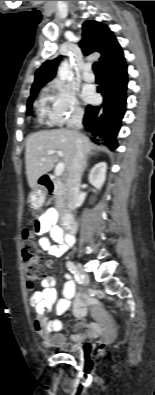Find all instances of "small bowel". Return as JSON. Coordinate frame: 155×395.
<instances>
[{"label": "small bowel", "instance_id": "obj_1", "mask_svg": "<svg viewBox=\"0 0 155 395\" xmlns=\"http://www.w3.org/2000/svg\"><path fill=\"white\" fill-rule=\"evenodd\" d=\"M57 221V212L54 209L47 210L39 217L35 224V231L38 234L50 232V239L42 237L39 240L40 248L51 256H60L65 253L75 243V238L71 235L64 234L62 230L55 226ZM67 281L63 285L62 297H58L55 289V279L51 275H45L41 280L42 288H34L30 298V304L35 310L33 321L34 330L46 348H61L67 343L66 336L59 334L62 329V322L59 318H49L48 314L55 308L57 316L63 315L71 307L74 317L79 321L77 329L86 327L88 331L83 335H73L71 338L75 342L97 336L101 331V325L98 323L84 324L82 320L88 312V303L94 305V312L98 313L99 309L94 301H88L83 295L76 294V284L71 280L70 275H66ZM52 333H56L52 335Z\"/></svg>", "mask_w": 155, "mask_h": 395}]
</instances>
